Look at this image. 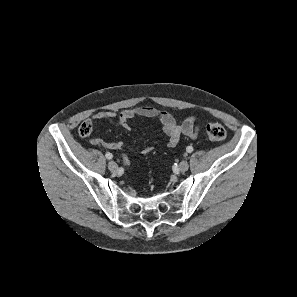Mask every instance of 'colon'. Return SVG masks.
Listing matches in <instances>:
<instances>
[{"label": "colon", "instance_id": "colon-1", "mask_svg": "<svg viewBox=\"0 0 297 297\" xmlns=\"http://www.w3.org/2000/svg\"><path fill=\"white\" fill-rule=\"evenodd\" d=\"M93 131V124L91 120H86L83 122L79 128V133L82 137H89ZM206 134L210 140L214 142H221L226 138L225 128L218 122H209L206 125ZM121 165L125 167L126 170L130 169V160L126 158L125 154L121 155Z\"/></svg>", "mask_w": 297, "mask_h": 297}]
</instances>
